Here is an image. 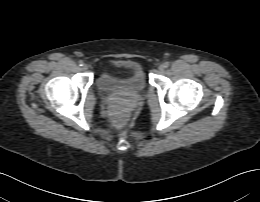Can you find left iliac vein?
I'll return each mask as SVG.
<instances>
[{
    "instance_id": "left-iliac-vein-1",
    "label": "left iliac vein",
    "mask_w": 260,
    "mask_h": 202,
    "mask_svg": "<svg viewBox=\"0 0 260 202\" xmlns=\"http://www.w3.org/2000/svg\"><path fill=\"white\" fill-rule=\"evenodd\" d=\"M158 70H159L160 72H163V71L165 70L164 65H163V64L159 65Z\"/></svg>"
}]
</instances>
